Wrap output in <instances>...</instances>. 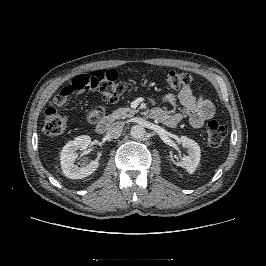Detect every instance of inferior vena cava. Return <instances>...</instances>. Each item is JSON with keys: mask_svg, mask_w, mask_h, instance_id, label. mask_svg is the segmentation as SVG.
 Returning <instances> with one entry per match:
<instances>
[{"mask_svg": "<svg viewBox=\"0 0 266 266\" xmlns=\"http://www.w3.org/2000/svg\"><path fill=\"white\" fill-rule=\"evenodd\" d=\"M123 127L124 123L121 121L112 123L107 130V136L111 139L119 138L122 133Z\"/></svg>", "mask_w": 266, "mask_h": 266, "instance_id": "1", "label": "inferior vena cava"}]
</instances>
